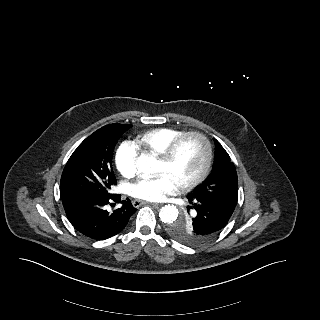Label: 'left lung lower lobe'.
Returning a JSON list of instances; mask_svg holds the SVG:
<instances>
[{
	"instance_id": "1",
	"label": "left lung lower lobe",
	"mask_w": 320,
	"mask_h": 320,
	"mask_svg": "<svg viewBox=\"0 0 320 320\" xmlns=\"http://www.w3.org/2000/svg\"><path fill=\"white\" fill-rule=\"evenodd\" d=\"M188 200L199 213L198 235L203 242L215 237L225 227L233 213L218 202L201 196H188Z\"/></svg>"
}]
</instances>
